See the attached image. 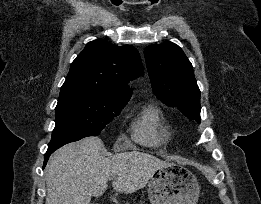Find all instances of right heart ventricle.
<instances>
[{
	"instance_id": "1",
	"label": "right heart ventricle",
	"mask_w": 261,
	"mask_h": 204,
	"mask_svg": "<svg viewBox=\"0 0 261 204\" xmlns=\"http://www.w3.org/2000/svg\"><path fill=\"white\" fill-rule=\"evenodd\" d=\"M135 142L145 146H157L165 138L164 119L154 104L145 105L130 126Z\"/></svg>"
}]
</instances>
